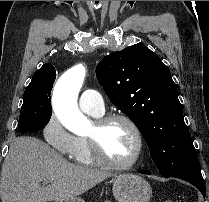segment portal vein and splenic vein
<instances>
[{"instance_id": "obj_1", "label": "portal vein and splenic vein", "mask_w": 209, "mask_h": 202, "mask_svg": "<svg viewBox=\"0 0 209 202\" xmlns=\"http://www.w3.org/2000/svg\"><path fill=\"white\" fill-rule=\"evenodd\" d=\"M43 180H44V182H46V183L52 182V179H50V178H44Z\"/></svg>"}]
</instances>
